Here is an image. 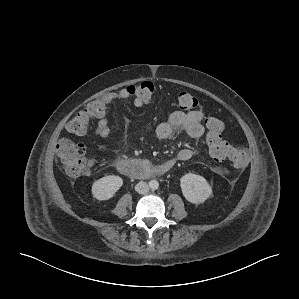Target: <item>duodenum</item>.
Segmentation results:
<instances>
[{
  "mask_svg": "<svg viewBox=\"0 0 299 299\" xmlns=\"http://www.w3.org/2000/svg\"><path fill=\"white\" fill-rule=\"evenodd\" d=\"M117 170L128 177L149 178L163 175L165 170L143 159H121L116 163Z\"/></svg>",
  "mask_w": 299,
  "mask_h": 299,
  "instance_id": "obj_1",
  "label": "duodenum"
}]
</instances>
